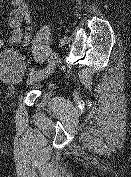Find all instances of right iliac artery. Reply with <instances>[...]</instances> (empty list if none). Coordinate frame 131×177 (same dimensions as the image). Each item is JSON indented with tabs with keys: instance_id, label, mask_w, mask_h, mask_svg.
<instances>
[{
	"instance_id": "right-iliac-artery-1",
	"label": "right iliac artery",
	"mask_w": 131,
	"mask_h": 177,
	"mask_svg": "<svg viewBox=\"0 0 131 177\" xmlns=\"http://www.w3.org/2000/svg\"><path fill=\"white\" fill-rule=\"evenodd\" d=\"M54 57H55L54 51H51V53L47 54V59L44 60L45 64L40 69L41 73H44L45 70H49L52 67L51 61L54 60Z\"/></svg>"
}]
</instances>
